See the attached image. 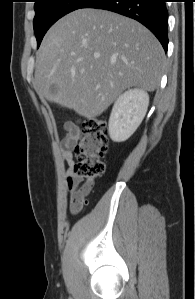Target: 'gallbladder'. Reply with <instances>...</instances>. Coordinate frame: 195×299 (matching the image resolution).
I'll return each mask as SVG.
<instances>
[{
  "label": "gallbladder",
  "instance_id": "gallbladder-1",
  "mask_svg": "<svg viewBox=\"0 0 195 299\" xmlns=\"http://www.w3.org/2000/svg\"><path fill=\"white\" fill-rule=\"evenodd\" d=\"M51 93H55L57 91V87L55 85L51 86Z\"/></svg>",
  "mask_w": 195,
  "mask_h": 299
}]
</instances>
